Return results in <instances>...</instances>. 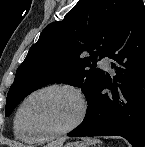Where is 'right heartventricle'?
Listing matches in <instances>:
<instances>
[{
    "label": "right heart ventricle",
    "mask_w": 145,
    "mask_h": 147,
    "mask_svg": "<svg viewBox=\"0 0 145 147\" xmlns=\"http://www.w3.org/2000/svg\"><path fill=\"white\" fill-rule=\"evenodd\" d=\"M14 133L15 136L25 142H33V140L30 138V136L26 133H24L23 131L19 130V128L16 126V124L14 123Z\"/></svg>",
    "instance_id": "1"
}]
</instances>
